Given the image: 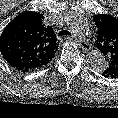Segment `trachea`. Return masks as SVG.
<instances>
[{
  "instance_id": "1",
  "label": "trachea",
  "mask_w": 118,
  "mask_h": 118,
  "mask_svg": "<svg viewBox=\"0 0 118 118\" xmlns=\"http://www.w3.org/2000/svg\"><path fill=\"white\" fill-rule=\"evenodd\" d=\"M58 36H71V33L68 30H61Z\"/></svg>"
}]
</instances>
